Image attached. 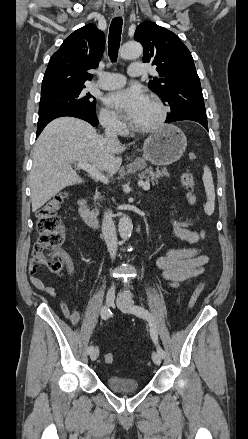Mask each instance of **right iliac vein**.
I'll list each match as a JSON object with an SVG mask.
<instances>
[{"label":"right iliac vein","instance_id":"63e3f726","mask_svg":"<svg viewBox=\"0 0 248 439\" xmlns=\"http://www.w3.org/2000/svg\"><path fill=\"white\" fill-rule=\"evenodd\" d=\"M114 301H115V292L113 289H110L106 295V303L109 307H112L114 305ZM98 356H99V349L96 347L90 353V359L92 361H95L98 358Z\"/></svg>","mask_w":248,"mask_h":439}]
</instances>
